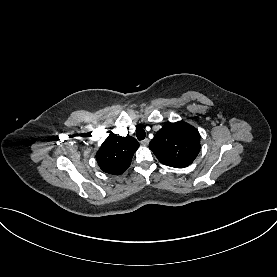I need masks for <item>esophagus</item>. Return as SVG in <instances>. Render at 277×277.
<instances>
[{
	"label": "esophagus",
	"mask_w": 277,
	"mask_h": 277,
	"mask_svg": "<svg viewBox=\"0 0 277 277\" xmlns=\"http://www.w3.org/2000/svg\"><path fill=\"white\" fill-rule=\"evenodd\" d=\"M140 143H141L142 146H148V144H149V139L146 138V139L142 140Z\"/></svg>",
	"instance_id": "1"
}]
</instances>
